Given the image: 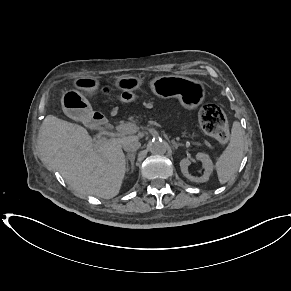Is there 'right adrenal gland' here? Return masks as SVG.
<instances>
[{
  "mask_svg": "<svg viewBox=\"0 0 291 291\" xmlns=\"http://www.w3.org/2000/svg\"><path fill=\"white\" fill-rule=\"evenodd\" d=\"M135 154H136L135 152L127 154V156H126V171H129V161H130L131 169H132L131 172H133Z\"/></svg>",
  "mask_w": 291,
  "mask_h": 291,
  "instance_id": "1",
  "label": "right adrenal gland"
}]
</instances>
